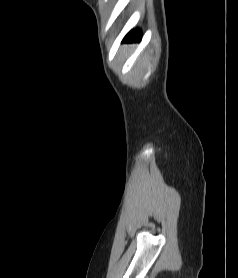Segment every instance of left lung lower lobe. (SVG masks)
Masks as SVG:
<instances>
[{"mask_svg": "<svg viewBox=\"0 0 238 278\" xmlns=\"http://www.w3.org/2000/svg\"><path fill=\"white\" fill-rule=\"evenodd\" d=\"M140 40H141V32L140 30L136 29L130 31L123 39V42H132V41H140Z\"/></svg>", "mask_w": 238, "mask_h": 278, "instance_id": "1", "label": "left lung lower lobe"}]
</instances>
